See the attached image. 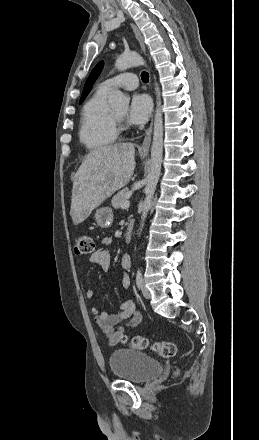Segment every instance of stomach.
<instances>
[{"mask_svg": "<svg viewBox=\"0 0 259 440\" xmlns=\"http://www.w3.org/2000/svg\"><path fill=\"white\" fill-rule=\"evenodd\" d=\"M94 219L98 226L107 228L113 222V211L110 207H101L96 210Z\"/></svg>", "mask_w": 259, "mask_h": 440, "instance_id": "stomach-1", "label": "stomach"}]
</instances>
